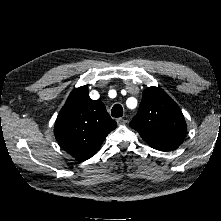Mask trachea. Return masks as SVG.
Instances as JSON below:
<instances>
[{
    "label": "trachea",
    "mask_w": 221,
    "mask_h": 221,
    "mask_svg": "<svg viewBox=\"0 0 221 221\" xmlns=\"http://www.w3.org/2000/svg\"><path fill=\"white\" fill-rule=\"evenodd\" d=\"M111 114L113 117H121L123 115V108L121 105L116 104L113 106L111 110Z\"/></svg>",
    "instance_id": "obj_1"
}]
</instances>
